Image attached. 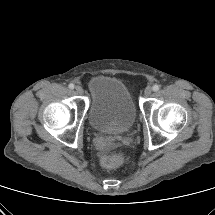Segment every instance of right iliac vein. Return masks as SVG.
I'll use <instances>...</instances> for the list:
<instances>
[{"label": "right iliac vein", "mask_w": 215, "mask_h": 215, "mask_svg": "<svg viewBox=\"0 0 215 215\" xmlns=\"http://www.w3.org/2000/svg\"><path fill=\"white\" fill-rule=\"evenodd\" d=\"M75 91L77 92V94H83V88L81 86H76Z\"/></svg>", "instance_id": "63e3f726"}]
</instances>
